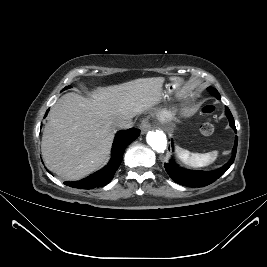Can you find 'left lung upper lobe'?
Listing matches in <instances>:
<instances>
[{"label": "left lung upper lobe", "mask_w": 267, "mask_h": 267, "mask_svg": "<svg viewBox=\"0 0 267 267\" xmlns=\"http://www.w3.org/2000/svg\"><path fill=\"white\" fill-rule=\"evenodd\" d=\"M212 95H214L215 97H217L218 99H219V97H220V95H219V93H218V91L216 90V89H214L213 88V90H212V93H211Z\"/></svg>", "instance_id": "obj_1"}]
</instances>
